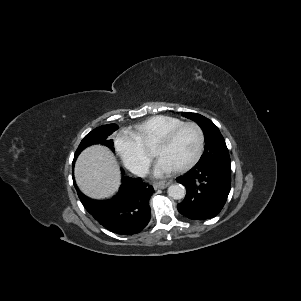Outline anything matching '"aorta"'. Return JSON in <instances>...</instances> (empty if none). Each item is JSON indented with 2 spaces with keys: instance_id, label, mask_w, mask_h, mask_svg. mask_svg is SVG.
<instances>
[{
  "instance_id": "aorta-1",
  "label": "aorta",
  "mask_w": 301,
  "mask_h": 301,
  "mask_svg": "<svg viewBox=\"0 0 301 301\" xmlns=\"http://www.w3.org/2000/svg\"><path fill=\"white\" fill-rule=\"evenodd\" d=\"M168 194L170 197L176 200L183 199L186 195V189L181 184H173L168 188Z\"/></svg>"
}]
</instances>
